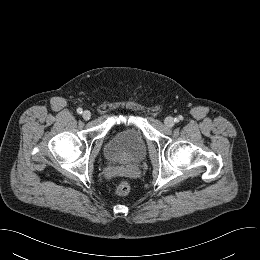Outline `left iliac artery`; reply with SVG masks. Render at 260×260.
<instances>
[{"label": "left iliac artery", "instance_id": "44dca946", "mask_svg": "<svg viewBox=\"0 0 260 260\" xmlns=\"http://www.w3.org/2000/svg\"><path fill=\"white\" fill-rule=\"evenodd\" d=\"M182 117H180V119H181ZM175 122H179V118H175Z\"/></svg>", "mask_w": 260, "mask_h": 260}]
</instances>
